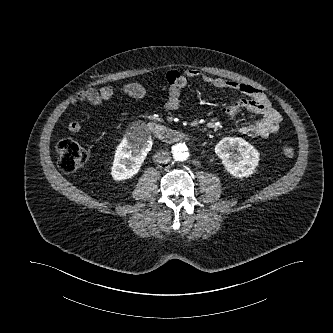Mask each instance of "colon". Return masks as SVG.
<instances>
[{"label": "colon", "mask_w": 333, "mask_h": 333, "mask_svg": "<svg viewBox=\"0 0 333 333\" xmlns=\"http://www.w3.org/2000/svg\"><path fill=\"white\" fill-rule=\"evenodd\" d=\"M56 150L58 154V167L64 173L74 172L87 161L85 149L73 139H61L56 145ZM282 153L285 157L292 158L295 151L291 146H284Z\"/></svg>", "instance_id": "colon-1"}]
</instances>
